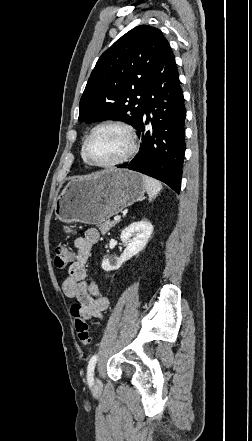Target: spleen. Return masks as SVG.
Returning <instances> with one entry per match:
<instances>
[{"instance_id": "obj_1", "label": "spleen", "mask_w": 252, "mask_h": 441, "mask_svg": "<svg viewBox=\"0 0 252 441\" xmlns=\"http://www.w3.org/2000/svg\"><path fill=\"white\" fill-rule=\"evenodd\" d=\"M143 179L145 182L146 192L149 196V201H152L160 193V191L162 189V185L159 181H157L151 177H148V176H143Z\"/></svg>"}]
</instances>
